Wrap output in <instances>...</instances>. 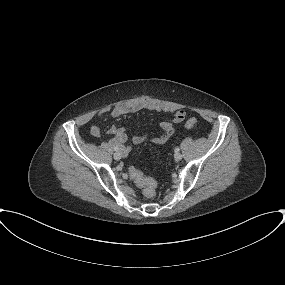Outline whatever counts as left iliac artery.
Wrapping results in <instances>:
<instances>
[{
    "label": "left iliac artery",
    "instance_id": "obj_1",
    "mask_svg": "<svg viewBox=\"0 0 285 285\" xmlns=\"http://www.w3.org/2000/svg\"><path fill=\"white\" fill-rule=\"evenodd\" d=\"M179 150H180L179 147L175 148V152H179Z\"/></svg>",
    "mask_w": 285,
    "mask_h": 285
}]
</instances>
